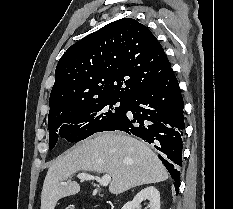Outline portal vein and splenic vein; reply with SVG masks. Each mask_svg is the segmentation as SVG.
I'll list each match as a JSON object with an SVG mask.
<instances>
[{"instance_id":"1","label":"portal vein and splenic vein","mask_w":233,"mask_h":209,"mask_svg":"<svg viewBox=\"0 0 233 209\" xmlns=\"http://www.w3.org/2000/svg\"><path fill=\"white\" fill-rule=\"evenodd\" d=\"M77 177L82 180H96L101 186H107L111 182V176L109 174H104L100 178L87 173H79ZM62 184H66V182H62Z\"/></svg>"}]
</instances>
